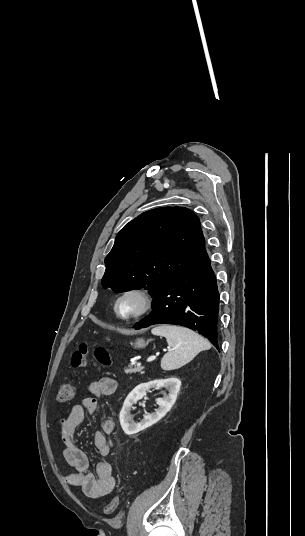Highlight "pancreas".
<instances>
[{"label":"pancreas","instance_id":"obj_1","mask_svg":"<svg viewBox=\"0 0 305 536\" xmlns=\"http://www.w3.org/2000/svg\"><path fill=\"white\" fill-rule=\"evenodd\" d=\"M142 370V366L141 368H137V366H132V364L128 368H124L125 374H136V372H142Z\"/></svg>","mask_w":305,"mask_h":536}]
</instances>
